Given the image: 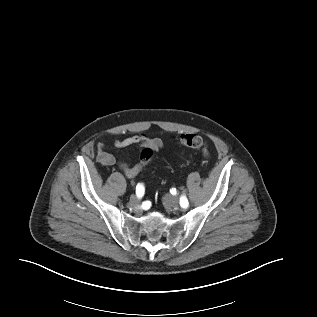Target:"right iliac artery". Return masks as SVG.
Segmentation results:
<instances>
[{
    "label": "right iliac artery",
    "instance_id": "1",
    "mask_svg": "<svg viewBox=\"0 0 317 317\" xmlns=\"http://www.w3.org/2000/svg\"><path fill=\"white\" fill-rule=\"evenodd\" d=\"M144 192H145V189H144L143 184H138L136 186V195L138 197H142L144 195Z\"/></svg>",
    "mask_w": 317,
    "mask_h": 317
}]
</instances>
